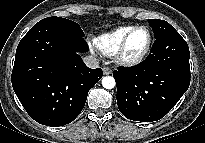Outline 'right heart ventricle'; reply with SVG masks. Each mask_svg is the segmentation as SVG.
I'll use <instances>...</instances> for the list:
<instances>
[{"label":"right heart ventricle","mask_w":205,"mask_h":143,"mask_svg":"<svg viewBox=\"0 0 205 143\" xmlns=\"http://www.w3.org/2000/svg\"><path fill=\"white\" fill-rule=\"evenodd\" d=\"M133 27L131 25H125L117 27L110 32L103 33L95 39V46L104 55H114L126 33Z\"/></svg>","instance_id":"e07e8e85"}]
</instances>
